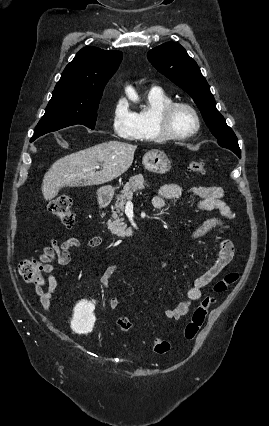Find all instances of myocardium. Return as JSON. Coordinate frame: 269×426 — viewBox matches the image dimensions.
<instances>
[{
	"label": "myocardium",
	"instance_id": "1",
	"mask_svg": "<svg viewBox=\"0 0 269 426\" xmlns=\"http://www.w3.org/2000/svg\"><path fill=\"white\" fill-rule=\"evenodd\" d=\"M178 108H185L192 113L195 119V127L186 133H177L172 129L171 119L173 113ZM155 126L162 139L166 140H184L196 135L201 128V119L197 110L189 103L183 101H171L163 106L155 118Z\"/></svg>",
	"mask_w": 269,
	"mask_h": 426
}]
</instances>
